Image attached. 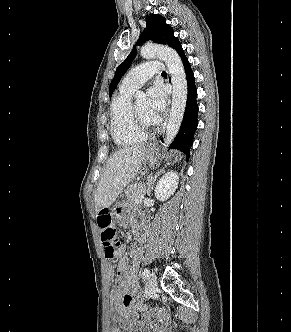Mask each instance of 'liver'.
<instances>
[{
    "mask_svg": "<svg viewBox=\"0 0 291 332\" xmlns=\"http://www.w3.org/2000/svg\"><path fill=\"white\" fill-rule=\"evenodd\" d=\"M146 147L134 145L116 151L108 160L94 195L98 213L109 208L141 169Z\"/></svg>",
    "mask_w": 291,
    "mask_h": 332,
    "instance_id": "obj_1",
    "label": "liver"
}]
</instances>
